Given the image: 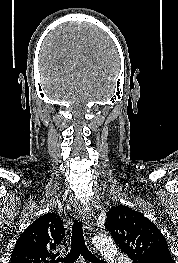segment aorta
Here are the masks:
<instances>
[{"mask_svg": "<svg viewBox=\"0 0 178 263\" xmlns=\"http://www.w3.org/2000/svg\"><path fill=\"white\" fill-rule=\"evenodd\" d=\"M93 243L100 250L107 262L113 263L117 254V247L111 237L99 234L93 238Z\"/></svg>", "mask_w": 178, "mask_h": 263, "instance_id": "aorta-1", "label": "aorta"}]
</instances>
